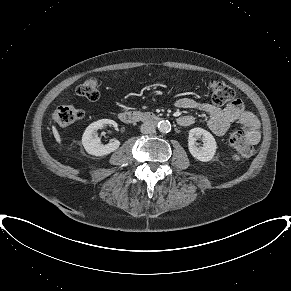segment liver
Masks as SVG:
<instances>
[{
  "instance_id": "liver-1",
  "label": "liver",
  "mask_w": 291,
  "mask_h": 291,
  "mask_svg": "<svg viewBox=\"0 0 291 291\" xmlns=\"http://www.w3.org/2000/svg\"><path fill=\"white\" fill-rule=\"evenodd\" d=\"M52 132H53V135L56 139V141L61 144V137L59 135V132L57 131L56 127L55 126H52Z\"/></svg>"
}]
</instances>
